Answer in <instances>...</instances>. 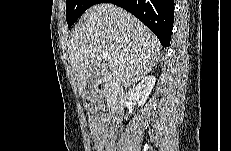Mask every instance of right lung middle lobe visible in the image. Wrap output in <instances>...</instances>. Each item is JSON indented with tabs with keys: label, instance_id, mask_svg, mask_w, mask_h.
I'll return each mask as SVG.
<instances>
[{
	"label": "right lung middle lobe",
	"instance_id": "dd1d6c3e",
	"mask_svg": "<svg viewBox=\"0 0 231 151\" xmlns=\"http://www.w3.org/2000/svg\"><path fill=\"white\" fill-rule=\"evenodd\" d=\"M100 0H67L66 2V19L68 27L91 6L98 4Z\"/></svg>",
	"mask_w": 231,
	"mask_h": 151
}]
</instances>
